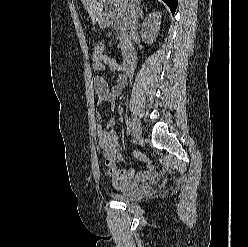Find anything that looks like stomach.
Masks as SVG:
<instances>
[{
    "instance_id": "0dacf381",
    "label": "stomach",
    "mask_w": 248,
    "mask_h": 247,
    "mask_svg": "<svg viewBox=\"0 0 248 247\" xmlns=\"http://www.w3.org/2000/svg\"><path fill=\"white\" fill-rule=\"evenodd\" d=\"M99 25H100L101 28L106 27V23L103 20H99Z\"/></svg>"
}]
</instances>
